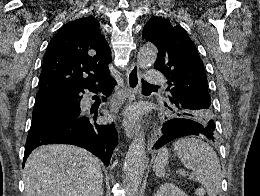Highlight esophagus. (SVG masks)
Returning <instances> with one entry per match:
<instances>
[{"instance_id":"obj_1","label":"esophagus","mask_w":260,"mask_h":196,"mask_svg":"<svg viewBox=\"0 0 260 196\" xmlns=\"http://www.w3.org/2000/svg\"><path fill=\"white\" fill-rule=\"evenodd\" d=\"M126 82L130 91L128 101L125 106V110L128 111L132 103L135 101L136 93L140 88V72L137 63L133 62L130 68L127 70ZM122 124L124 131L129 138H132L139 130V124L137 120L132 117L125 118Z\"/></svg>"}]
</instances>
